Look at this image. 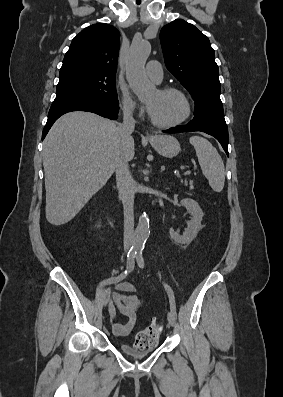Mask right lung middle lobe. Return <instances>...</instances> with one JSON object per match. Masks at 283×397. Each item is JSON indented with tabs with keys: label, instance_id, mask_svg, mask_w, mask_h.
Returning <instances> with one entry per match:
<instances>
[{
	"label": "right lung middle lobe",
	"instance_id": "dd1d6c3e",
	"mask_svg": "<svg viewBox=\"0 0 283 397\" xmlns=\"http://www.w3.org/2000/svg\"><path fill=\"white\" fill-rule=\"evenodd\" d=\"M115 77L67 72L59 75L55 100L80 98L106 105H119Z\"/></svg>",
	"mask_w": 283,
	"mask_h": 397
}]
</instances>
